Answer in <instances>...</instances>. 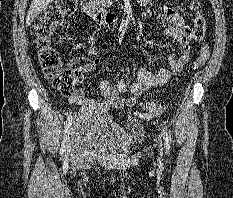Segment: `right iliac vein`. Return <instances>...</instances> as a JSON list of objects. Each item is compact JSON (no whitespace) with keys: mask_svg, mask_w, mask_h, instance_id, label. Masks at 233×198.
<instances>
[{"mask_svg":"<svg viewBox=\"0 0 233 198\" xmlns=\"http://www.w3.org/2000/svg\"><path fill=\"white\" fill-rule=\"evenodd\" d=\"M68 151H69V153H72L71 140L69 141V145H68Z\"/></svg>","mask_w":233,"mask_h":198,"instance_id":"63e3f726","label":"right iliac vein"}]
</instances>
